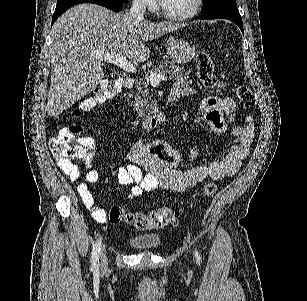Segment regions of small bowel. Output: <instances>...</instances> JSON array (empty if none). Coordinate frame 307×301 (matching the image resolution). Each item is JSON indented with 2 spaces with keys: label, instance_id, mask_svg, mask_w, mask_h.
Wrapping results in <instances>:
<instances>
[{
  "label": "small bowel",
  "instance_id": "c3829d8e",
  "mask_svg": "<svg viewBox=\"0 0 307 301\" xmlns=\"http://www.w3.org/2000/svg\"><path fill=\"white\" fill-rule=\"evenodd\" d=\"M193 93L194 90L182 80L177 81L173 87L175 96H188ZM201 111L210 128L218 136H224L229 129L228 125L233 124L230 130L233 144L227 155L222 160H215L208 165H198L182 170L178 167L182 161L180 152L172 149L165 142L158 140L145 144L138 141L128 152V163L117 170L118 183L130 187L129 198H136L145 192L158 189L183 192L207 178L221 180L239 171L254 141L253 117L247 116L245 125H234L236 103L229 97H208L202 102ZM83 142L88 150L85 157L87 171L84 182L78 184L77 191L83 205L91 212L94 220L105 223L106 210L97 204L88 186L99 180V174L93 167L96 142L91 136H84ZM196 155L197 151H193L192 156ZM55 159L59 169L70 180L76 181L80 178V170L70 159L61 156H55Z\"/></svg>",
  "mask_w": 307,
  "mask_h": 301
}]
</instances>
